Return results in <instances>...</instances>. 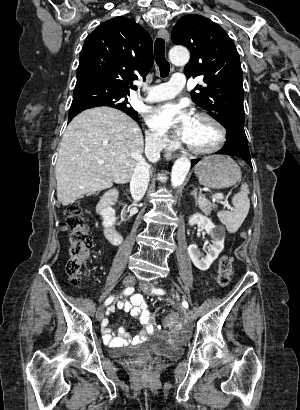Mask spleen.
Instances as JSON below:
<instances>
[{
    "instance_id": "3e777b00",
    "label": "spleen",
    "mask_w": 300,
    "mask_h": 410,
    "mask_svg": "<svg viewBox=\"0 0 300 410\" xmlns=\"http://www.w3.org/2000/svg\"><path fill=\"white\" fill-rule=\"evenodd\" d=\"M248 194V185L243 183L240 191L232 198L234 210L221 211L217 214L219 220L226 226L229 233H235L248 214L250 208V199L248 198Z\"/></svg>"
}]
</instances>
